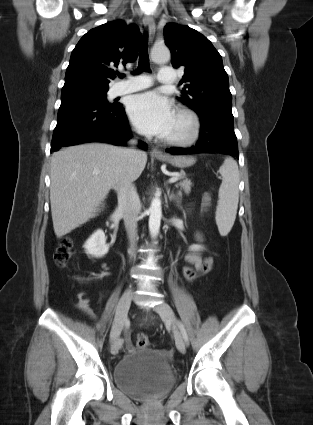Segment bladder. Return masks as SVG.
Listing matches in <instances>:
<instances>
[{
    "mask_svg": "<svg viewBox=\"0 0 313 425\" xmlns=\"http://www.w3.org/2000/svg\"><path fill=\"white\" fill-rule=\"evenodd\" d=\"M118 389L128 396L148 400L164 396L175 383V374L165 351L135 350L123 356L114 367Z\"/></svg>",
    "mask_w": 313,
    "mask_h": 425,
    "instance_id": "31cf9c89",
    "label": "bladder"
}]
</instances>
